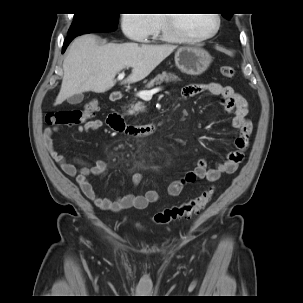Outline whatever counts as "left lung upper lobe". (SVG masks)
<instances>
[{
    "mask_svg": "<svg viewBox=\"0 0 303 303\" xmlns=\"http://www.w3.org/2000/svg\"><path fill=\"white\" fill-rule=\"evenodd\" d=\"M224 17H226L227 19L230 18L232 16V14L226 15V14H222Z\"/></svg>",
    "mask_w": 303,
    "mask_h": 303,
    "instance_id": "left-lung-upper-lobe-1",
    "label": "left lung upper lobe"
}]
</instances>
